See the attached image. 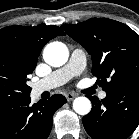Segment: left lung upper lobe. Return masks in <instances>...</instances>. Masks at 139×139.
<instances>
[{
    "label": "left lung upper lobe",
    "mask_w": 139,
    "mask_h": 139,
    "mask_svg": "<svg viewBox=\"0 0 139 139\" xmlns=\"http://www.w3.org/2000/svg\"><path fill=\"white\" fill-rule=\"evenodd\" d=\"M61 27L91 55L92 74L107 94L139 83V35L127 25L92 18Z\"/></svg>",
    "instance_id": "left-lung-upper-lobe-1"
}]
</instances>
